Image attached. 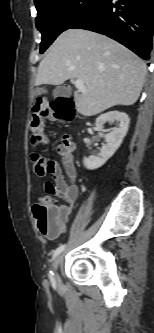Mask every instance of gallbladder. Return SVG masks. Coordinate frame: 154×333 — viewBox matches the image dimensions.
I'll list each match as a JSON object with an SVG mask.
<instances>
[{
    "label": "gallbladder",
    "instance_id": "obj_1",
    "mask_svg": "<svg viewBox=\"0 0 154 333\" xmlns=\"http://www.w3.org/2000/svg\"><path fill=\"white\" fill-rule=\"evenodd\" d=\"M46 91L45 90H42V93H45ZM70 90L68 87L66 86H58L54 89L53 91V96L54 97H59V96H62V97H69L70 96Z\"/></svg>",
    "mask_w": 154,
    "mask_h": 333
}]
</instances>
